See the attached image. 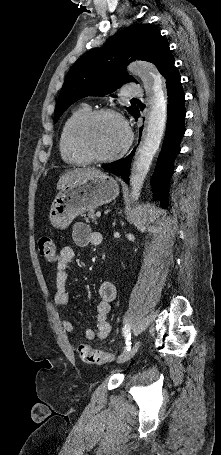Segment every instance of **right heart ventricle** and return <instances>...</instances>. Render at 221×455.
Listing matches in <instances>:
<instances>
[{"mask_svg": "<svg viewBox=\"0 0 221 455\" xmlns=\"http://www.w3.org/2000/svg\"><path fill=\"white\" fill-rule=\"evenodd\" d=\"M90 112V107L81 104L75 108L65 120L60 134L59 149L62 159L71 165H85L90 161L84 156L76 145L75 132L82 118Z\"/></svg>", "mask_w": 221, "mask_h": 455, "instance_id": "e07e8e85", "label": "right heart ventricle"}]
</instances>
